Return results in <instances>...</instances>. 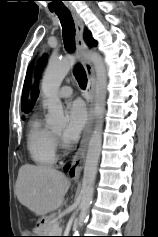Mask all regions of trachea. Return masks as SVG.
<instances>
[{
  "instance_id": "obj_1",
  "label": "trachea",
  "mask_w": 158,
  "mask_h": 237,
  "mask_svg": "<svg viewBox=\"0 0 158 237\" xmlns=\"http://www.w3.org/2000/svg\"><path fill=\"white\" fill-rule=\"evenodd\" d=\"M54 12L60 19L63 28L62 34L65 49L69 52H73L75 49V26L71 13L67 8L54 10ZM74 76L80 87L84 89L87 85V75L82 66L77 65L75 67Z\"/></svg>"
}]
</instances>
